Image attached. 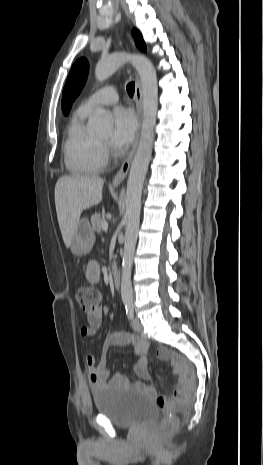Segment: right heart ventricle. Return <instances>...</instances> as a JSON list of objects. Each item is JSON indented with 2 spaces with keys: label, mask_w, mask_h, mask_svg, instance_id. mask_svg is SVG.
<instances>
[{
  "label": "right heart ventricle",
  "mask_w": 263,
  "mask_h": 465,
  "mask_svg": "<svg viewBox=\"0 0 263 465\" xmlns=\"http://www.w3.org/2000/svg\"><path fill=\"white\" fill-rule=\"evenodd\" d=\"M88 115L78 109L67 127L63 144L64 161L67 169L74 174L99 173L106 165L102 143L86 128Z\"/></svg>",
  "instance_id": "e07e8e85"
}]
</instances>
